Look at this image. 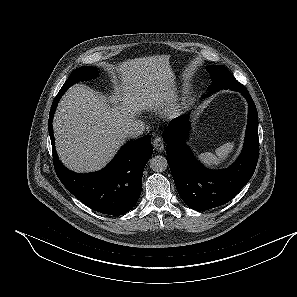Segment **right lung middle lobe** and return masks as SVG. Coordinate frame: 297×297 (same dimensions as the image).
<instances>
[{
  "instance_id": "dd1d6c3e",
  "label": "right lung middle lobe",
  "mask_w": 297,
  "mask_h": 297,
  "mask_svg": "<svg viewBox=\"0 0 297 297\" xmlns=\"http://www.w3.org/2000/svg\"><path fill=\"white\" fill-rule=\"evenodd\" d=\"M98 75V71L95 67L82 66L75 69L72 72L68 80L64 83L61 90L66 91L70 86L77 83L79 80H87L95 78Z\"/></svg>"
}]
</instances>
